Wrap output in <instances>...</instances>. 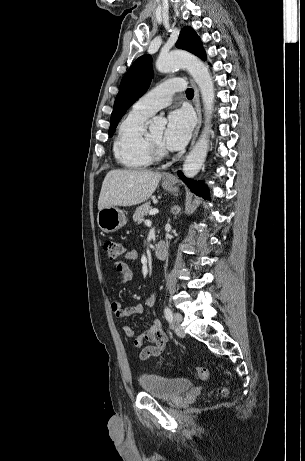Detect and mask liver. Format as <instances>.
Returning a JSON list of instances; mask_svg holds the SVG:
<instances>
[{
    "mask_svg": "<svg viewBox=\"0 0 305 461\" xmlns=\"http://www.w3.org/2000/svg\"><path fill=\"white\" fill-rule=\"evenodd\" d=\"M162 174L148 170H110L103 181L98 209L132 206L148 200Z\"/></svg>",
    "mask_w": 305,
    "mask_h": 461,
    "instance_id": "6515ba94",
    "label": "liver"
}]
</instances>
